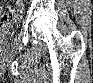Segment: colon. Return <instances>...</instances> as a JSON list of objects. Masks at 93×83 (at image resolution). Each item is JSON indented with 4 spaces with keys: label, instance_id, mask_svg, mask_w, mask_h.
I'll return each instance as SVG.
<instances>
[{
    "label": "colon",
    "instance_id": "colon-1",
    "mask_svg": "<svg viewBox=\"0 0 93 83\" xmlns=\"http://www.w3.org/2000/svg\"><path fill=\"white\" fill-rule=\"evenodd\" d=\"M9 3H24V1H21V2H18V1H8ZM16 10L13 8V7H10V6H4L2 7L1 9V21L3 23H7L9 22L13 15L15 14Z\"/></svg>",
    "mask_w": 93,
    "mask_h": 83
}]
</instances>
